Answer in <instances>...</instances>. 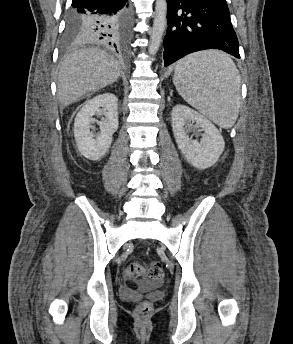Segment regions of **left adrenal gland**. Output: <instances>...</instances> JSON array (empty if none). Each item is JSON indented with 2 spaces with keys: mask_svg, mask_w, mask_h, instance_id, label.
Returning <instances> with one entry per match:
<instances>
[{
  "mask_svg": "<svg viewBox=\"0 0 293 344\" xmlns=\"http://www.w3.org/2000/svg\"><path fill=\"white\" fill-rule=\"evenodd\" d=\"M172 92H173V91L170 92V95H171V96H172Z\"/></svg>",
  "mask_w": 293,
  "mask_h": 344,
  "instance_id": "1",
  "label": "left adrenal gland"
}]
</instances>
